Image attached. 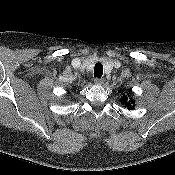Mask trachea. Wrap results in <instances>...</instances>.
<instances>
[{"label": "trachea", "mask_w": 175, "mask_h": 175, "mask_svg": "<svg viewBox=\"0 0 175 175\" xmlns=\"http://www.w3.org/2000/svg\"><path fill=\"white\" fill-rule=\"evenodd\" d=\"M103 74V65L101 63H96L94 67V76L96 78H101Z\"/></svg>", "instance_id": "3493384b"}]
</instances>
